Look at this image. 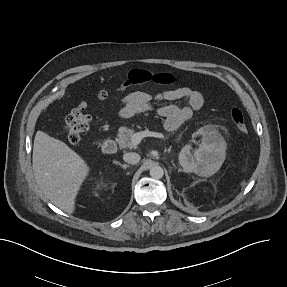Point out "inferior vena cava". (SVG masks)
I'll return each mask as SVG.
<instances>
[{
	"instance_id": "inferior-vena-cava-1",
	"label": "inferior vena cava",
	"mask_w": 287,
	"mask_h": 287,
	"mask_svg": "<svg viewBox=\"0 0 287 287\" xmlns=\"http://www.w3.org/2000/svg\"><path fill=\"white\" fill-rule=\"evenodd\" d=\"M123 159L129 164H137L140 161V155L135 152L125 153Z\"/></svg>"
}]
</instances>
